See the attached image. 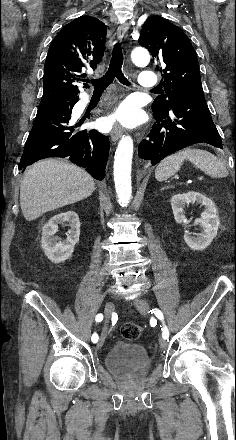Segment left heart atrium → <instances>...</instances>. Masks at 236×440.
<instances>
[{"mask_svg": "<svg viewBox=\"0 0 236 440\" xmlns=\"http://www.w3.org/2000/svg\"><path fill=\"white\" fill-rule=\"evenodd\" d=\"M134 120H135V117H134L133 107L128 103H124L110 117L108 122L113 123V122L117 121V122H121L123 124H132L134 122Z\"/></svg>", "mask_w": 236, "mask_h": 440, "instance_id": "left-heart-atrium-1", "label": "left heart atrium"}]
</instances>
